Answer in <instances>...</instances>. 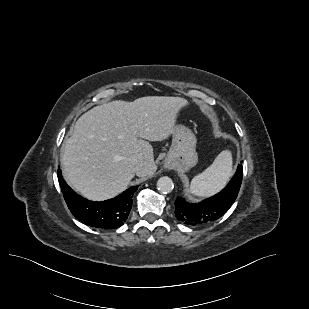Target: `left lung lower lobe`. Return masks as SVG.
Segmentation results:
<instances>
[{
    "label": "left lung lower lobe",
    "instance_id": "left-lung-lower-lobe-1",
    "mask_svg": "<svg viewBox=\"0 0 309 309\" xmlns=\"http://www.w3.org/2000/svg\"><path fill=\"white\" fill-rule=\"evenodd\" d=\"M243 177V167L237 171L228 185L218 194L200 203H188L183 198L175 201V215L186 225L201 226L212 223L222 217L237 198Z\"/></svg>",
    "mask_w": 309,
    "mask_h": 309
}]
</instances>
